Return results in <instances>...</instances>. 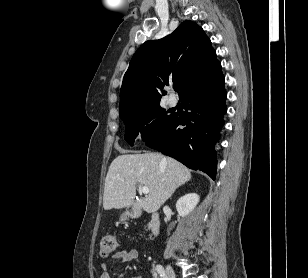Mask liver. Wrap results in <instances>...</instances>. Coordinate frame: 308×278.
<instances>
[{"label":"liver","mask_w":308,"mask_h":278,"mask_svg":"<svg viewBox=\"0 0 308 278\" xmlns=\"http://www.w3.org/2000/svg\"><path fill=\"white\" fill-rule=\"evenodd\" d=\"M191 179L190 170L177 160L159 153L123 154L108 170L103 207L121 209L133 205L134 212L157 211L175 190ZM136 184L149 188L145 198L135 201Z\"/></svg>","instance_id":"obj_1"}]
</instances>
